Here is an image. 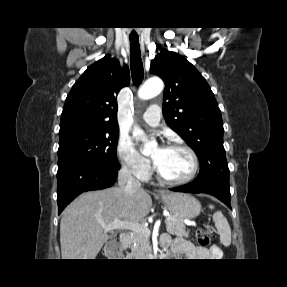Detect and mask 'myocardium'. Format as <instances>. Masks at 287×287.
<instances>
[{
    "label": "myocardium",
    "mask_w": 287,
    "mask_h": 287,
    "mask_svg": "<svg viewBox=\"0 0 287 287\" xmlns=\"http://www.w3.org/2000/svg\"><path fill=\"white\" fill-rule=\"evenodd\" d=\"M165 148L183 149V150L187 151L192 158V162H193L192 171L190 172V174L187 177H185L183 179H178V180L169 179V178H166L161 173V171L157 167L155 161L153 160V167H154V170L156 172L157 178L161 182L168 184V185H184V184H187V183L191 182L192 180H194V178L197 176L199 169H200V159H199L197 152L191 146H189L185 143H181V142L168 143L165 146Z\"/></svg>",
    "instance_id": "f54148a6"
}]
</instances>
